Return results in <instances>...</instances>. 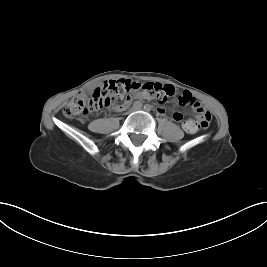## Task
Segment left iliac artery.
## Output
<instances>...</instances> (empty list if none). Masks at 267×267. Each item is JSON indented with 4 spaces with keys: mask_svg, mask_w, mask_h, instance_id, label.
<instances>
[{
    "mask_svg": "<svg viewBox=\"0 0 267 267\" xmlns=\"http://www.w3.org/2000/svg\"><path fill=\"white\" fill-rule=\"evenodd\" d=\"M151 105H149V104H146L145 106H144V109L146 110V111H150L151 110Z\"/></svg>",
    "mask_w": 267,
    "mask_h": 267,
    "instance_id": "obj_1",
    "label": "left iliac artery"
}]
</instances>
